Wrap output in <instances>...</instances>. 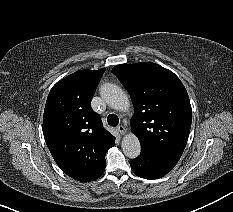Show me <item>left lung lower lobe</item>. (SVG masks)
Wrapping results in <instances>:
<instances>
[{
    "instance_id": "obj_1",
    "label": "left lung lower lobe",
    "mask_w": 233,
    "mask_h": 212,
    "mask_svg": "<svg viewBox=\"0 0 233 212\" xmlns=\"http://www.w3.org/2000/svg\"><path fill=\"white\" fill-rule=\"evenodd\" d=\"M176 161L165 159L146 150H141L140 155L130 161L133 172L145 179H157L171 171Z\"/></svg>"
}]
</instances>
